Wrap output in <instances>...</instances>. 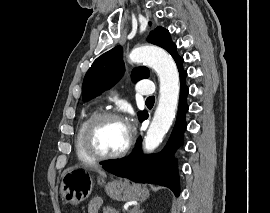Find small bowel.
I'll use <instances>...</instances> for the list:
<instances>
[{"instance_id": "obj_1", "label": "small bowel", "mask_w": 270, "mask_h": 213, "mask_svg": "<svg viewBox=\"0 0 270 213\" xmlns=\"http://www.w3.org/2000/svg\"><path fill=\"white\" fill-rule=\"evenodd\" d=\"M100 207V202L96 199H93L88 204V213H99Z\"/></svg>"}]
</instances>
